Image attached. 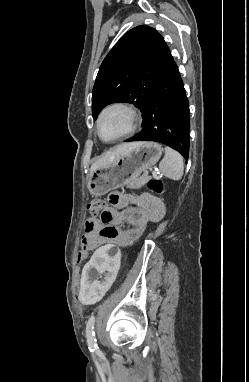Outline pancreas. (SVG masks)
<instances>
[{
    "label": "pancreas",
    "instance_id": "1",
    "mask_svg": "<svg viewBox=\"0 0 249 382\" xmlns=\"http://www.w3.org/2000/svg\"><path fill=\"white\" fill-rule=\"evenodd\" d=\"M149 180H150V177L147 175H143L142 177L130 178L126 182V186L127 188H130V189H139L142 186H144Z\"/></svg>",
    "mask_w": 249,
    "mask_h": 382
}]
</instances>
